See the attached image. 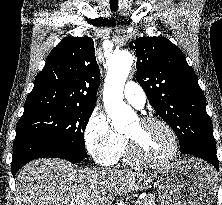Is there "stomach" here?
<instances>
[{"label":"stomach","instance_id":"1","mask_svg":"<svg viewBox=\"0 0 222 205\" xmlns=\"http://www.w3.org/2000/svg\"><path fill=\"white\" fill-rule=\"evenodd\" d=\"M156 185L161 205H211L217 188L213 169L195 159L162 169Z\"/></svg>","mask_w":222,"mask_h":205}]
</instances>
